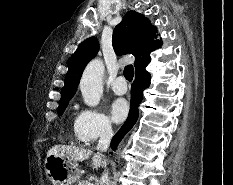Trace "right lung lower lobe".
Returning a JSON list of instances; mask_svg holds the SVG:
<instances>
[{
	"label": "right lung lower lobe",
	"instance_id": "right-lung-lower-lobe-1",
	"mask_svg": "<svg viewBox=\"0 0 233 185\" xmlns=\"http://www.w3.org/2000/svg\"><path fill=\"white\" fill-rule=\"evenodd\" d=\"M150 79H151V75L149 72L146 71V68L137 70L135 72V80L131 88V104H130L129 116L126 122L124 123V125L122 126V128L112 139L111 147L113 150H115L119 141L136 123L139 117L138 107L141 100L143 99L142 93L144 89L149 87Z\"/></svg>",
	"mask_w": 233,
	"mask_h": 185
}]
</instances>
